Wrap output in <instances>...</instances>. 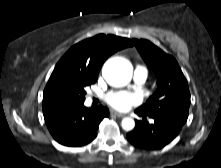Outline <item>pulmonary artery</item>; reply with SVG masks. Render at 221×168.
<instances>
[{"instance_id":"pulmonary-artery-1","label":"pulmonary artery","mask_w":221,"mask_h":168,"mask_svg":"<svg viewBox=\"0 0 221 168\" xmlns=\"http://www.w3.org/2000/svg\"><path fill=\"white\" fill-rule=\"evenodd\" d=\"M147 78V70L144 67L138 66L134 71V81L137 84H143Z\"/></svg>"}]
</instances>
